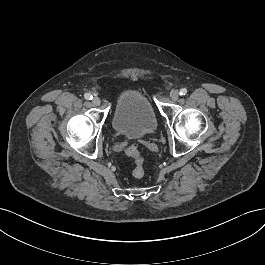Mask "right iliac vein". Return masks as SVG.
Listing matches in <instances>:
<instances>
[{
    "label": "right iliac vein",
    "instance_id": "right-iliac-vein-1",
    "mask_svg": "<svg viewBox=\"0 0 265 265\" xmlns=\"http://www.w3.org/2000/svg\"><path fill=\"white\" fill-rule=\"evenodd\" d=\"M92 103L95 105V106H99L101 104V100L98 98V97H94L92 99Z\"/></svg>",
    "mask_w": 265,
    "mask_h": 265
}]
</instances>
